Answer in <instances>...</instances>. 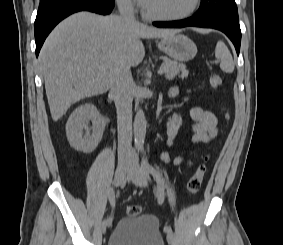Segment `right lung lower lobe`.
I'll use <instances>...</instances> for the list:
<instances>
[{"label": "right lung lower lobe", "instance_id": "right-lung-lower-lobe-1", "mask_svg": "<svg viewBox=\"0 0 283 245\" xmlns=\"http://www.w3.org/2000/svg\"><path fill=\"white\" fill-rule=\"evenodd\" d=\"M114 0H41L34 23L36 56L51 30L64 18L78 11L109 14Z\"/></svg>", "mask_w": 283, "mask_h": 245}]
</instances>
